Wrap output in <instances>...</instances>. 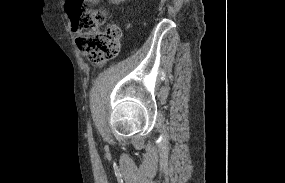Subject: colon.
I'll list each match as a JSON object with an SVG mask.
<instances>
[{"label": "colon", "instance_id": "1", "mask_svg": "<svg viewBox=\"0 0 285 183\" xmlns=\"http://www.w3.org/2000/svg\"><path fill=\"white\" fill-rule=\"evenodd\" d=\"M87 0H66L65 12L70 20L79 50L93 61L113 58L120 51L121 29L110 25L102 30L105 13L86 7Z\"/></svg>", "mask_w": 285, "mask_h": 183}]
</instances>
